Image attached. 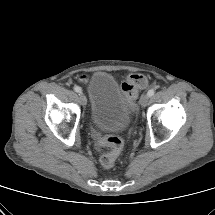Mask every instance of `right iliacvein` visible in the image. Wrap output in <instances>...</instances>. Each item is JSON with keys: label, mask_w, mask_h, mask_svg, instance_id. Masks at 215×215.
<instances>
[{"label": "right iliac vein", "mask_w": 215, "mask_h": 215, "mask_svg": "<svg viewBox=\"0 0 215 215\" xmlns=\"http://www.w3.org/2000/svg\"><path fill=\"white\" fill-rule=\"evenodd\" d=\"M79 97H80L81 104H82L83 106H85L86 103H87V100H86L85 95H84L83 93H80V94H79Z\"/></svg>", "instance_id": "1"}]
</instances>
